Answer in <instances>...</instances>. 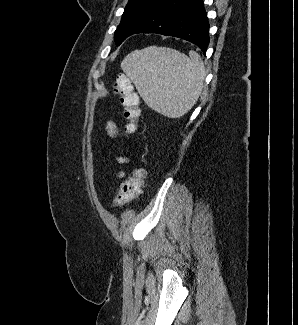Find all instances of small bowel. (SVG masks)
I'll list each match as a JSON object with an SVG mask.
<instances>
[{"label":"small bowel","mask_w":298,"mask_h":325,"mask_svg":"<svg viewBox=\"0 0 298 325\" xmlns=\"http://www.w3.org/2000/svg\"><path fill=\"white\" fill-rule=\"evenodd\" d=\"M107 131H108V134L111 136V137H116L117 134H118V128H117V125L114 121H109L107 123ZM119 163H125L127 162L126 158H123V157H120L118 159ZM119 177L120 178H123L124 177V172H120L119 174Z\"/></svg>","instance_id":"small-bowel-1"}]
</instances>
